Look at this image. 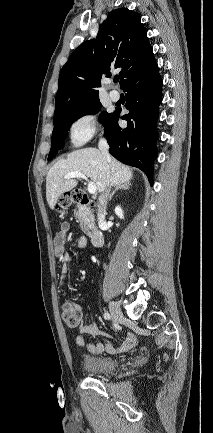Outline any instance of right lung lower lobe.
Returning a JSON list of instances; mask_svg holds the SVG:
<instances>
[{"mask_svg":"<svg viewBox=\"0 0 213 433\" xmlns=\"http://www.w3.org/2000/svg\"><path fill=\"white\" fill-rule=\"evenodd\" d=\"M162 80L154 58L122 87L129 113L122 116L126 128L118 125L120 110L113 112L105 126L109 152L119 161L141 169L153 183V162L157 157L156 121L162 101Z\"/></svg>","mask_w":213,"mask_h":433,"instance_id":"98d812e1","label":"right lung lower lobe"}]
</instances>
